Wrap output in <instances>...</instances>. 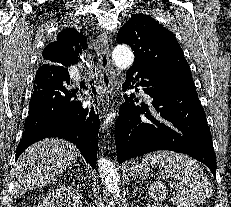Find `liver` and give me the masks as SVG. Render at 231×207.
<instances>
[{"label":"liver","instance_id":"liver-1","mask_svg":"<svg viewBox=\"0 0 231 207\" xmlns=\"http://www.w3.org/2000/svg\"><path fill=\"white\" fill-rule=\"evenodd\" d=\"M79 155L75 145L58 138H47L33 144L15 164L13 194L21 196L28 190L54 182L76 162Z\"/></svg>","mask_w":231,"mask_h":207}]
</instances>
